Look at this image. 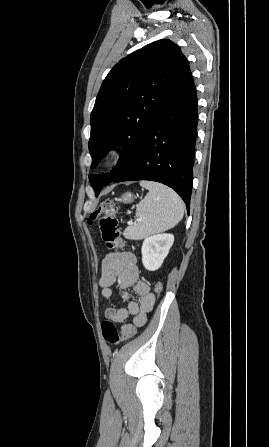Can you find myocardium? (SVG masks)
<instances>
[{
    "label": "myocardium",
    "mask_w": 269,
    "mask_h": 447,
    "mask_svg": "<svg viewBox=\"0 0 269 447\" xmlns=\"http://www.w3.org/2000/svg\"><path fill=\"white\" fill-rule=\"evenodd\" d=\"M119 151V145H113L110 149L105 153L103 162L105 165H111L116 159Z\"/></svg>",
    "instance_id": "myocardium-1"
}]
</instances>
